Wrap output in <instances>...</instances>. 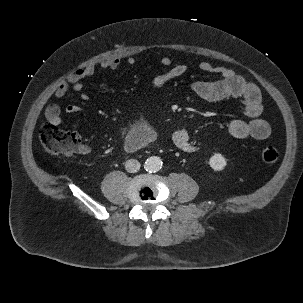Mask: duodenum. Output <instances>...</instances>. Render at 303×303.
I'll return each mask as SVG.
<instances>
[{
    "label": "duodenum",
    "mask_w": 303,
    "mask_h": 303,
    "mask_svg": "<svg viewBox=\"0 0 303 303\" xmlns=\"http://www.w3.org/2000/svg\"><path fill=\"white\" fill-rule=\"evenodd\" d=\"M154 138V133L150 129H137L130 132L126 138V147L129 150H136L147 144Z\"/></svg>",
    "instance_id": "duodenum-1"
}]
</instances>
